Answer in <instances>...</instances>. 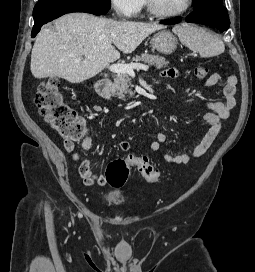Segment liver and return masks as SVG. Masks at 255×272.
Masks as SVG:
<instances>
[{
    "label": "liver",
    "mask_w": 255,
    "mask_h": 272,
    "mask_svg": "<svg viewBox=\"0 0 255 272\" xmlns=\"http://www.w3.org/2000/svg\"><path fill=\"white\" fill-rule=\"evenodd\" d=\"M163 28L156 23L116 21L87 13L63 15L54 28L45 27L37 35L31 73L38 79L59 77L81 83L119 59V51L132 53L148 35Z\"/></svg>",
    "instance_id": "6515ba94"
}]
</instances>
